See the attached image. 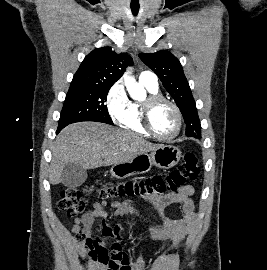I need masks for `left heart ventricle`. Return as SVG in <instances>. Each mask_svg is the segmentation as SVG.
Here are the masks:
<instances>
[{
	"instance_id": "left-heart-ventricle-1",
	"label": "left heart ventricle",
	"mask_w": 267,
	"mask_h": 270,
	"mask_svg": "<svg viewBox=\"0 0 267 270\" xmlns=\"http://www.w3.org/2000/svg\"><path fill=\"white\" fill-rule=\"evenodd\" d=\"M151 122L155 131L165 137L174 134L177 128L175 112L170 105L164 102L157 104L152 109Z\"/></svg>"
}]
</instances>
